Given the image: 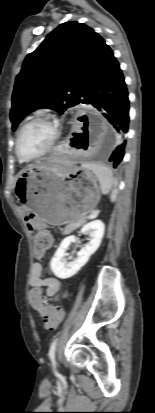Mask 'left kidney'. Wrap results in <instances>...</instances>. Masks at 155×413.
<instances>
[{"label":"left kidney","instance_id":"5707ae66","mask_svg":"<svg viewBox=\"0 0 155 413\" xmlns=\"http://www.w3.org/2000/svg\"><path fill=\"white\" fill-rule=\"evenodd\" d=\"M105 225L101 220H94L81 229V233H88L90 241L81 248L77 258L72 262H67L66 250L76 237L71 235L64 238L51 260V269L54 275L60 279H67L74 276L89 260L91 255L99 248L104 236Z\"/></svg>","mask_w":155,"mask_h":413}]
</instances>
